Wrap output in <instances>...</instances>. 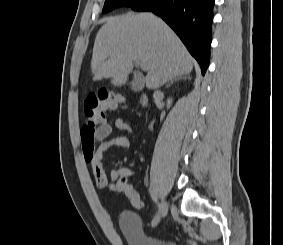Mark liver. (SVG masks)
Returning <instances> with one entry per match:
<instances>
[{
    "label": "liver",
    "instance_id": "liver-1",
    "mask_svg": "<svg viewBox=\"0 0 283 245\" xmlns=\"http://www.w3.org/2000/svg\"><path fill=\"white\" fill-rule=\"evenodd\" d=\"M136 61L148 67L145 77L148 89L158 88L193 69V59L181 40L152 13L107 18L93 47V79L125 78Z\"/></svg>",
    "mask_w": 283,
    "mask_h": 245
}]
</instances>
